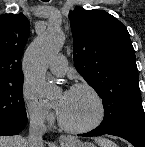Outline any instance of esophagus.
<instances>
[{
	"mask_svg": "<svg viewBox=\"0 0 145 147\" xmlns=\"http://www.w3.org/2000/svg\"><path fill=\"white\" fill-rule=\"evenodd\" d=\"M59 141H60V143H64V142H69L70 139L68 137H66L65 135H60Z\"/></svg>",
	"mask_w": 145,
	"mask_h": 147,
	"instance_id": "34e87169",
	"label": "esophagus"
}]
</instances>
